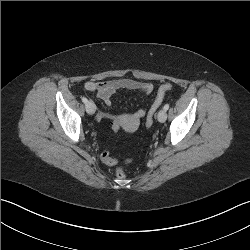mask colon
I'll list each match as a JSON object with an SVG mask.
<instances>
[{"mask_svg":"<svg viewBox=\"0 0 250 250\" xmlns=\"http://www.w3.org/2000/svg\"><path fill=\"white\" fill-rule=\"evenodd\" d=\"M171 88H172L171 83H164L159 87V89H158V91H157V93L155 95V98L153 100V103H152V105H151V107L149 109V112L147 114V117H146V126L148 128L152 126V124L154 122L156 111L159 108V106L162 104L165 94L169 90H171ZM110 124L112 126L111 134L112 135H117L121 130V128H120V117H115V119H113ZM99 155L106 164L111 165V166L115 165L114 172H115V175H116L117 178L122 179V178L125 177V175H126L125 170L123 169V167L116 165L117 161L114 160L110 156L108 151L103 150V151L100 152ZM129 161H130V159L127 160V162H129Z\"/></svg>","mask_w":250,"mask_h":250,"instance_id":"5ec220e1","label":"colon"}]
</instances>
